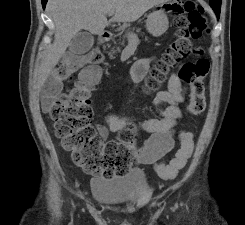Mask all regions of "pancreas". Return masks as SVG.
<instances>
[{"instance_id": "1", "label": "pancreas", "mask_w": 245, "mask_h": 225, "mask_svg": "<svg viewBox=\"0 0 245 225\" xmlns=\"http://www.w3.org/2000/svg\"><path fill=\"white\" fill-rule=\"evenodd\" d=\"M130 34V32L126 33L124 36H123V39L122 41L120 42V45L121 46H124L125 45V38L128 37V35ZM116 51L120 52L121 51V48L120 47H116V49H113L109 54L110 56H112V54H114Z\"/></svg>"}]
</instances>
